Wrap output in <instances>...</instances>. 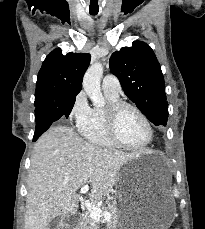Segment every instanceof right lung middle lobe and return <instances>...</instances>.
<instances>
[{"mask_svg": "<svg viewBox=\"0 0 205 229\" xmlns=\"http://www.w3.org/2000/svg\"><path fill=\"white\" fill-rule=\"evenodd\" d=\"M67 99L70 100L71 102H75V96H68ZM54 100L55 99H52V98L41 99V100L35 101L34 105L37 108V107L44 105L45 103H48Z\"/></svg>", "mask_w": 205, "mask_h": 229, "instance_id": "right-lung-middle-lobe-1", "label": "right lung middle lobe"}]
</instances>
